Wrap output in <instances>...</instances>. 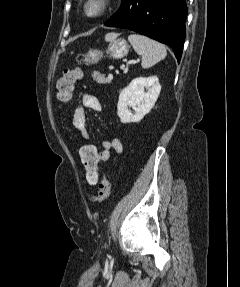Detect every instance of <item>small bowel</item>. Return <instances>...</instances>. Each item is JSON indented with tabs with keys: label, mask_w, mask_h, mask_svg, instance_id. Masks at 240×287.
I'll return each instance as SVG.
<instances>
[{
	"label": "small bowel",
	"mask_w": 240,
	"mask_h": 287,
	"mask_svg": "<svg viewBox=\"0 0 240 287\" xmlns=\"http://www.w3.org/2000/svg\"><path fill=\"white\" fill-rule=\"evenodd\" d=\"M99 112L102 109L100 100L88 93H84L81 98V104L76 107L72 115V125L80 132L83 139L88 140L90 137L87 128L86 110ZM102 149L98 151L99 161L107 162L111 157V152L121 153L123 150L122 142L117 138L106 139L101 144Z\"/></svg>",
	"instance_id": "1"
}]
</instances>
